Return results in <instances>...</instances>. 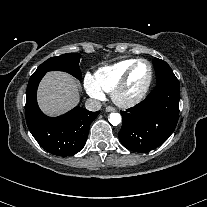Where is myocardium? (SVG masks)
<instances>
[{"label":"myocardium","instance_id":"obj_1","mask_svg":"<svg viewBox=\"0 0 207 207\" xmlns=\"http://www.w3.org/2000/svg\"><path fill=\"white\" fill-rule=\"evenodd\" d=\"M139 63H145L148 66L149 69V75L148 79L143 86V88L133 97L131 98H123L122 97V92L124 88L127 86L129 78L135 68V66ZM153 81V68L152 65L150 64L149 61L146 59H136L126 70V72L123 74V76L120 78V80L116 83L114 86L112 92H111V97L114 103L122 108H130L136 104H138L147 94L151 84Z\"/></svg>","mask_w":207,"mask_h":207}]
</instances>
